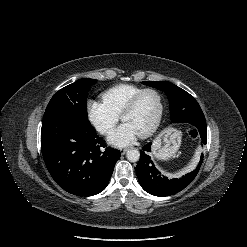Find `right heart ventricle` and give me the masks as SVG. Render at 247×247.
<instances>
[{
  "label": "right heart ventricle",
  "instance_id": "right-heart-ventricle-1",
  "mask_svg": "<svg viewBox=\"0 0 247 247\" xmlns=\"http://www.w3.org/2000/svg\"><path fill=\"white\" fill-rule=\"evenodd\" d=\"M143 89L133 84H120L104 91L102 99L111 110L121 115L128 102Z\"/></svg>",
  "mask_w": 247,
  "mask_h": 247
}]
</instances>
